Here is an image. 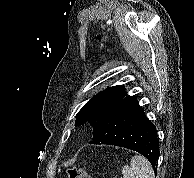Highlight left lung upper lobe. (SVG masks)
Returning a JSON list of instances; mask_svg holds the SVG:
<instances>
[{"mask_svg": "<svg viewBox=\"0 0 194 178\" xmlns=\"http://www.w3.org/2000/svg\"><path fill=\"white\" fill-rule=\"evenodd\" d=\"M123 86L108 87L91 98L76 116L75 126L88 122L93 128L122 100L130 98Z\"/></svg>", "mask_w": 194, "mask_h": 178, "instance_id": "5c2ea615", "label": "left lung upper lobe"}]
</instances>
